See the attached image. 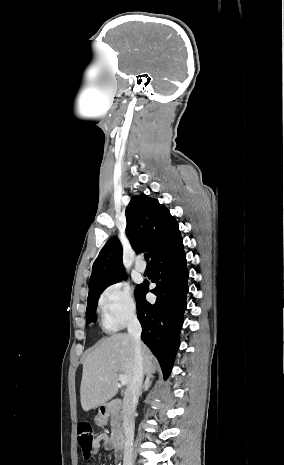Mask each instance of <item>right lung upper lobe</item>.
<instances>
[{
    "mask_svg": "<svg viewBox=\"0 0 284 465\" xmlns=\"http://www.w3.org/2000/svg\"><path fill=\"white\" fill-rule=\"evenodd\" d=\"M125 214L126 234L132 247L137 253L147 251L151 260L181 237L178 223L169 210L145 194L132 197ZM124 277L122 245L117 237H112L93 264L89 295Z\"/></svg>",
    "mask_w": 284,
    "mask_h": 465,
    "instance_id": "cb5924a9",
    "label": "right lung upper lobe"
}]
</instances>
